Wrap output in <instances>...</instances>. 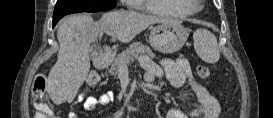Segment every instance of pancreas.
I'll return each mask as SVG.
<instances>
[{"mask_svg": "<svg viewBox=\"0 0 273 118\" xmlns=\"http://www.w3.org/2000/svg\"><path fill=\"white\" fill-rule=\"evenodd\" d=\"M137 57L152 59L155 57V54L148 46L140 42H135L113 59L109 73L117 75L121 66L130 64Z\"/></svg>", "mask_w": 273, "mask_h": 118, "instance_id": "obj_1", "label": "pancreas"}]
</instances>
